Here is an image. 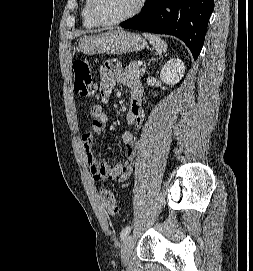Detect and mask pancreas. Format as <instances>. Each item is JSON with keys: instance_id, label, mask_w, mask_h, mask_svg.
<instances>
[{"instance_id": "1", "label": "pancreas", "mask_w": 253, "mask_h": 271, "mask_svg": "<svg viewBox=\"0 0 253 271\" xmlns=\"http://www.w3.org/2000/svg\"><path fill=\"white\" fill-rule=\"evenodd\" d=\"M125 72L136 77L141 78L145 73V68L137 65L136 61L130 62V64L125 68Z\"/></svg>"}]
</instances>
